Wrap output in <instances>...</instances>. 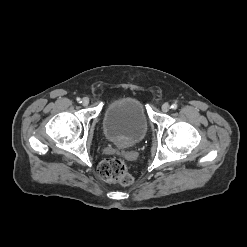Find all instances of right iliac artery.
<instances>
[{"label":"right iliac artery","mask_w":247,"mask_h":247,"mask_svg":"<svg viewBox=\"0 0 247 247\" xmlns=\"http://www.w3.org/2000/svg\"><path fill=\"white\" fill-rule=\"evenodd\" d=\"M77 102L81 103L82 102L81 98H77Z\"/></svg>","instance_id":"82829eb1"}]
</instances>
